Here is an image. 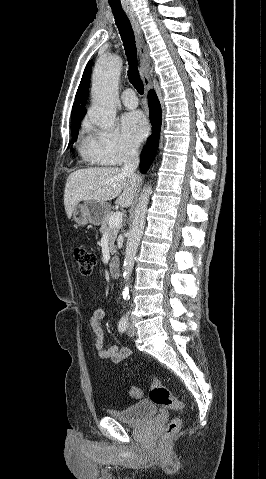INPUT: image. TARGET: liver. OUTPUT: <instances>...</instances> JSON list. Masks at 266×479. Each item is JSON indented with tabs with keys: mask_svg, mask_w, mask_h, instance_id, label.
I'll return each mask as SVG.
<instances>
[{
	"mask_svg": "<svg viewBox=\"0 0 266 479\" xmlns=\"http://www.w3.org/2000/svg\"><path fill=\"white\" fill-rule=\"evenodd\" d=\"M141 177L122 172L118 167H96L72 172L66 181L64 206L70 219L81 201H108L116 197V203L129 207L137 197Z\"/></svg>",
	"mask_w": 266,
	"mask_h": 479,
	"instance_id": "6515ba94",
	"label": "liver"
}]
</instances>
